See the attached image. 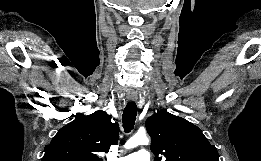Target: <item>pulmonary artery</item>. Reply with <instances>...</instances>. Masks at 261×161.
Masks as SVG:
<instances>
[{
	"mask_svg": "<svg viewBox=\"0 0 261 161\" xmlns=\"http://www.w3.org/2000/svg\"><path fill=\"white\" fill-rule=\"evenodd\" d=\"M116 161H151V158L146 149H140L127 156L119 157Z\"/></svg>",
	"mask_w": 261,
	"mask_h": 161,
	"instance_id": "pulmonary-artery-1",
	"label": "pulmonary artery"
}]
</instances>
